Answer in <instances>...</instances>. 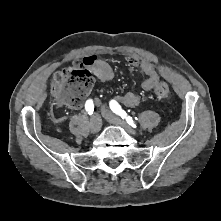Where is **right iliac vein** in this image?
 Listing matches in <instances>:
<instances>
[{"label": "right iliac vein", "mask_w": 221, "mask_h": 221, "mask_svg": "<svg viewBox=\"0 0 221 221\" xmlns=\"http://www.w3.org/2000/svg\"><path fill=\"white\" fill-rule=\"evenodd\" d=\"M102 127V120L98 114H95L91 120V131L97 133Z\"/></svg>", "instance_id": "obj_1"}]
</instances>
